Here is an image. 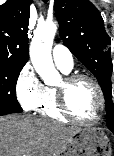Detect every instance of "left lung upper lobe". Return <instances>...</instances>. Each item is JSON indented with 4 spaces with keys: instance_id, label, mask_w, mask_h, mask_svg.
Listing matches in <instances>:
<instances>
[{
    "instance_id": "5c2ea615",
    "label": "left lung upper lobe",
    "mask_w": 114,
    "mask_h": 156,
    "mask_svg": "<svg viewBox=\"0 0 114 156\" xmlns=\"http://www.w3.org/2000/svg\"><path fill=\"white\" fill-rule=\"evenodd\" d=\"M59 34L64 44L97 78L105 97L108 128H114L111 42L100 12L88 0H55Z\"/></svg>"
}]
</instances>
